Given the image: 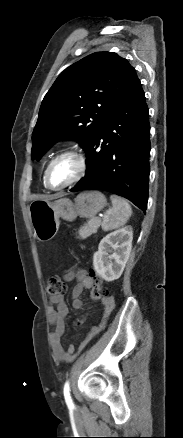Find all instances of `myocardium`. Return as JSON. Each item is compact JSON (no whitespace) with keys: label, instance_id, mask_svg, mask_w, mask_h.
Instances as JSON below:
<instances>
[{"label":"myocardium","instance_id":"myocardium-1","mask_svg":"<svg viewBox=\"0 0 183 438\" xmlns=\"http://www.w3.org/2000/svg\"><path fill=\"white\" fill-rule=\"evenodd\" d=\"M65 157H72L76 160L77 166H78L77 173L69 182H67L61 186H57V187L52 186L49 183L50 170H51L52 166L58 160L65 158ZM87 170H88V161H87L86 156L83 153L76 151V150H67V151L59 153L58 155H56L55 157H53L49 161V163L47 164L46 169L44 171L43 181H44L45 186L48 189L54 190V191L61 190V189L67 188V187L79 182L85 176Z\"/></svg>","mask_w":183,"mask_h":438}]
</instances>
